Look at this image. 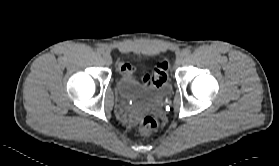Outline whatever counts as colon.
<instances>
[{
    "label": "colon",
    "mask_w": 279,
    "mask_h": 166,
    "mask_svg": "<svg viewBox=\"0 0 279 166\" xmlns=\"http://www.w3.org/2000/svg\"><path fill=\"white\" fill-rule=\"evenodd\" d=\"M168 63L159 62L152 75L143 74L141 77L142 83L148 85L149 88H161L167 82ZM158 126L157 120L152 116H145L139 124V132L142 135H148L156 130Z\"/></svg>",
    "instance_id": "obj_1"
}]
</instances>
